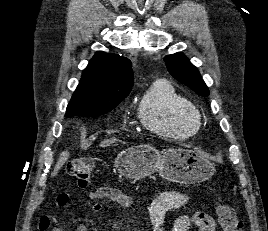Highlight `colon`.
Segmentation results:
<instances>
[{"label":"colon","mask_w":268,"mask_h":231,"mask_svg":"<svg viewBox=\"0 0 268 231\" xmlns=\"http://www.w3.org/2000/svg\"><path fill=\"white\" fill-rule=\"evenodd\" d=\"M94 169V162L89 158H78L71 161L67 166L68 174L80 184H86ZM66 200V197L62 198ZM217 219L222 231H243V225L238 220L234 209L227 204L217 207Z\"/></svg>","instance_id":"5ec220e1"}]
</instances>
